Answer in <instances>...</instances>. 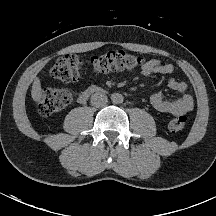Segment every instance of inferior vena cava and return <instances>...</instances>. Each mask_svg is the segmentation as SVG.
I'll use <instances>...</instances> for the list:
<instances>
[{
    "instance_id": "602c4592",
    "label": "inferior vena cava",
    "mask_w": 216,
    "mask_h": 216,
    "mask_svg": "<svg viewBox=\"0 0 216 216\" xmlns=\"http://www.w3.org/2000/svg\"><path fill=\"white\" fill-rule=\"evenodd\" d=\"M108 97L104 93H95L91 96V105L97 108L103 107L107 104Z\"/></svg>"
}]
</instances>
